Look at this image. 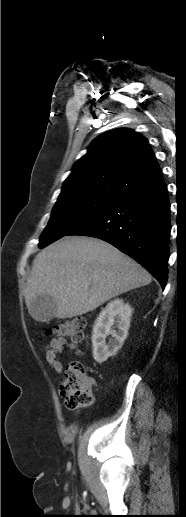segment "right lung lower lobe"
<instances>
[{"label":"right lung lower lobe","mask_w":186,"mask_h":517,"mask_svg":"<svg viewBox=\"0 0 186 517\" xmlns=\"http://www.w3.org/2000/svg\"><path fill=\"white\" fill-rule=\"evenodd\" d=\"M170 203L163 179L134 189L68 235L102 239L145 267L165 288Z\"/></svg>","instance_id":"obj_1"}]
</instances>
